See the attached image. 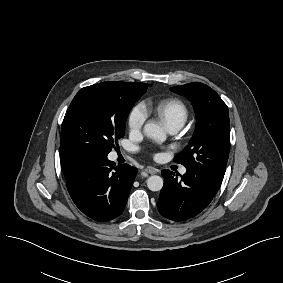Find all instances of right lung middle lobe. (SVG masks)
I'll return each mask as SVG.
<instances>
[{
	"label": "right lung middle lobe",
	"instance_id": "dd1d6c3e",
	"mask_svg": "<svg viewBox=\"0 0 283 283\" xmlns=\"http://www.w3.org/2000/svg\"><path fill=\"white\" fill-rule=\"evenodd\" d=\"M147 87L112 81L79 90L65 114L60 147L81 160L107 156L124 136L127 116Z\"/></svg>",
	"mask_w": 283,
	"mask_h": 283
}]
</instances>
